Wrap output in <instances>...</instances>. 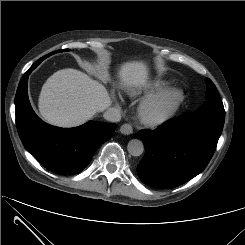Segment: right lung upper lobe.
Instances as JSON below:
<instances>
[{"mask_svg": "<svg viewBox=\"0 0 245 245\" xmlns=\"http://www.w3.org/2000/svg\"><path fill=\"white\" fill-rule=\"evenodd\" d=\"M40 62L39 61H37V63L36 64H34L33 66H32V69H34L38 64H39Z\"/></svg>", "mask_w": 245, "mask_h": 245, "instance_id": "1", "label": "right lung upper lobe"}]
</instances>
